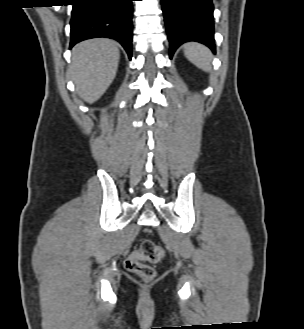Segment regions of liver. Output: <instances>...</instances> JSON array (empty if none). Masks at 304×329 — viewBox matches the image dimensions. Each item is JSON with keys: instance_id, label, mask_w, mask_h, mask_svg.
<instances>
[{"instance_id": "6515ba94", "label": "liver", "mask_w": 304, "mask_h": 329, "mask_svg": "<svg viewBox=\"0 0 304 329\" xmlns=\"http://www.w3.org/2000/svg\"><path fill=\"white\" fill-rule=\"evenodd\" d=\"M118 44L110 39H90L77 44L72 53V79L87 103L97 101L114 80L119 63Z\"/></svg>"}]
</instances>
